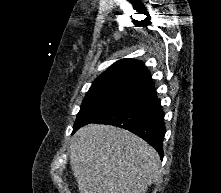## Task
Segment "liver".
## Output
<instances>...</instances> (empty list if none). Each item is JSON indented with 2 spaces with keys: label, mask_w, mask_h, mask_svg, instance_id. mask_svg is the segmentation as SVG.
<instances>
[{
  "label": "liver",
  "mask_w": 221,
  "mask_h": 193,
  "mask_svg": "<svg viewBox=\"0 0 221 193\" xmlns=\"http://www.w3.org/2000/svg\"><path fill=\"white\" fill-rule=\"evenodd\" d=\"M70 165L80 193H146L160 176L153 147L125 129L103 124L76 131Z\"/></svg>",
  "instance_id": "obj_1"
}]
</instances>
